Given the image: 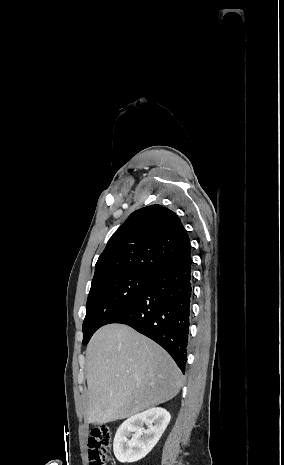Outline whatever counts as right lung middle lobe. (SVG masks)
Listing matches in <instances>:
<instances>
[{
    "label": "right lung middle lobe",
    "mask_w": 284,
    "mask_h": 465,
    "mask_svg": "<svg viewBox=\"0 0 284 465\" xmlns=\"http://www.w3.org/2000/svg\"><path fill=\"white\" fill-rule=\"evenodd\" d=\"M153 276L125 274L101 280L93 285L86 304L83 322V344H87L107 321L132 301L152 280Z\"/></svg>",
    "instance_id": "obj_1"
}]
</instances>
